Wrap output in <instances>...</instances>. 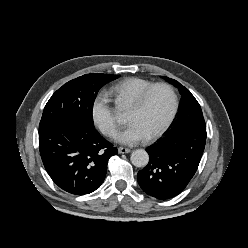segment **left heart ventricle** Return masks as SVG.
Segmentation results:
<instances>
[{
    "label": "left heart ventricle",
    "instance_id": "obj_1",
    "mask_svg": "<svg viewBox=\"0 0 248 248\" xmlns=\"http://www.w3.org/2000/svg\"><path fill=\"white\" fill-rule=\"evenodd\" d=\"M171 109L172 97L170 92L166 88H156L148 96L141 109L135 110L130 106L127 122L137 124L148 137L163 126Z\"/></svg>",
    "mask_w": 248,
    "mask_h": 248
}]
</instances>
